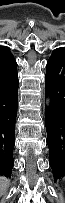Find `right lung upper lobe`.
Returning <instances> with one entry per match:
<instances>
[{
  "instance_id": "cb5924a9",
  "label": "right lung upper lobe",
  "mask_w": 65,
  "mask_h": 203,
  "mask_svg": "<svg viewBox=\"0 0 65 203\" xmlns=\"http://www.w3.org/2000/svg\"><path fill=\"white\" fill-rule=\"evenodd\" d=\"M16 66L17 63L12 54L9 52V49L4 46H0V69L9 70Z\"/></svg>"
}]
</instances>
